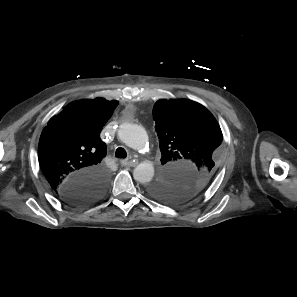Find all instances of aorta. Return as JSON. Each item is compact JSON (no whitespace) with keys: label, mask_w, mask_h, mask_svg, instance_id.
Returning <instances> with one entry per match:
<instances>
[{"label":"aorta","mask_w":297,"mask_h":297,"mask_svg":"<svg viewBox=\"0 0 297 297\" xmlns=\"http://www.w3.org/2000/svg\"><path fill=\"white\" fill-rule=\"evenodd\" d=\"M118 138L126 146L137 151L144 149L148 143L146 130L142 126L132 123H124L120 126ZM153 176L154 166L150 162H141L133 171L134 179L141 184L149 183Z\"/></svg>","instance_id":"1"}]
</instances>
